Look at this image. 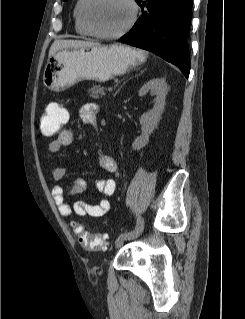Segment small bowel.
<instances>
[{"label":"small bowel","instance_id":"1","mask_svg":"<svg viewBox=\"0 0 245 319\" xmlns=\"http://www.w3.org/2000/svg\"><path fill=\"white\" fill-rule=\"evenodd\" d=\"M56 105L55 103L50 104L47 108ZM99 114V107L94 103H87L83 105L80 110V117L82 121L89 125H95ZM73 141V132L71 129H63L49 143V150L52 153H58L63 147L68 146ZM99 166L106 172L113 173L118 176V166L116 161L109 155L98 154ZM67 173V169L62 165H57L53 170V179L56 181L62 180ZM98 189L105 196H111L115 193L117 188L116 178L103 177L98 181ZM86 188V181L82 178H76L69 189H65L62 185H56L52 190V197L57 206L59 213L69 218L73 215L78 217H101L105 215L110 209V202L107 198H103L99 204L92 205L85 201L78 200L73 204L71 208L65 200L66 195H77L84 192Z\"/></svg>","mask_w":245,"mask_h":319}]
</instances>
